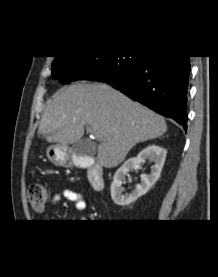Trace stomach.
Listing matches in <instances>:
<instances>
[{
    "mask_svg": "<svg viewBox=\"0 0 218 277\" xmlns=\"http://www.w3.org/2000/svg\"><path fill=\"white\" fill-rule=\"evenodd\" d=\"M48 159L59 166H70L71 158L65 146L53 145L47 148L46 151Z\"/></svg>",
    "mask_w": 218,
    "mask_h": 277,
    "instance_id": "1",
    "label": "stomach"
}]
</instances>
